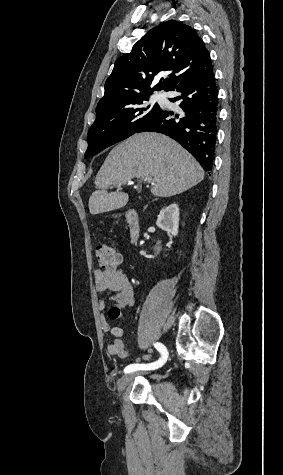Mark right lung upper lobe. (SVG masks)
Masks as SVG:
<instances>
[{
	"mask_svg": "<svg viewBox=\"0 0 283 475\" xmlns=\"http://www.w3.org/2000/svg\"><path fill=\"white\" fill-rule=\"evenodd\" d=\"M213 70L208 50L194 29L170 20L151 29L115 62L97 107L119 103L161 89L170 91L180 82ZM169 73L151 88L158 74Z\"/></svg>",
	"mask_w": 283,
	"mask_h": 475,
	"instance_id": "right-lung-upper-lobe-1",
	"label": "right lung upper lobe"
}]
</instances>
